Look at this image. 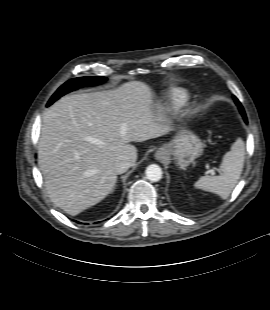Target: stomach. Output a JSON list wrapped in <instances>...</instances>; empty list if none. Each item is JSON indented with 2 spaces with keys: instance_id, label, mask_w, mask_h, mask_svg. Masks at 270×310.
<instances>
[{
  "instance_id": "stomach-1",
  "label": "stomach",
  "mask_w": 270,
  "mask_h": 310,
  "mask_svg": "<svg viewBox=\"0 0 270 310\" xmlns=\"http://www.w3.org/2000/svg\"><path fill=\"white\" fill-rule=\"evenodd\" d=\"M168 156H172L179 168H185L203 153L204 144L198 136L186 129H180L176 136L163 145Z\"/></svg>"
}]
</instances>
